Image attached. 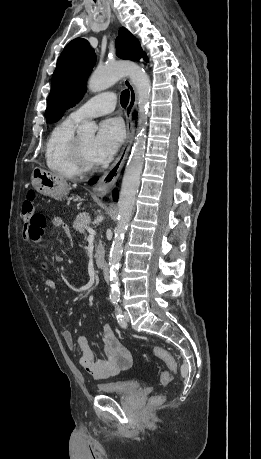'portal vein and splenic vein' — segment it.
<instances>
[{
  "instance_id": "portal-vein-and-splenic-vein-1",
  "label": "portal vein and splenic vein",
  "mask_w": 261,
  "mask_h": 459,
  "mask_svg": "<svg viewBox=\"0 0 261 459\" xmlns=\"http://www.w3.org/2000/svg\"><path fill=\"white\" fill-rule=\"evenodd\" d=\"M87 230H88V232H89V237H88V238H89V239H93L94 236L96 235L95 230H93V229L90 228V227H88Z\"/></svg>"
}]
</instances>
